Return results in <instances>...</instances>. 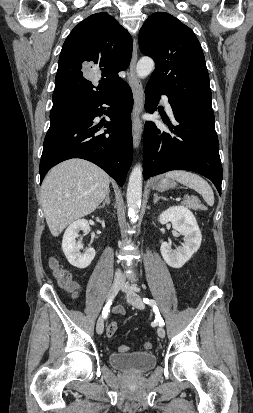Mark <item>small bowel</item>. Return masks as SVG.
I'll return each mask as SVG.
<instances>
[{"instance_id":"1","label":"small bowel","mask_w":253,"mask_h":413,"mask_svg":"<svg viewBox=\"0 0 253 413\" xmlns=\"http://www.w3.org/2000/svg\"><path fill=\"white\" fill-rule=\"evenodd\" d=\"M63 287L75 299L78 298L80 296L81 292H82L81 285L76 281H72L71 283H69L68 285L63 286ZM114 312L117 313V314H123L124 309L121 306H117V307H115Z\"/></svg>"}]
</instances>
